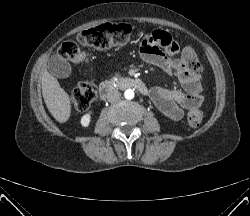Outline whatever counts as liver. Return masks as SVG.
Segmentation results:
<instances>
[{
	"instance_id": "obj_1",
	"label": "liver",
	"mask_w": 250,
	"mask_h": 216,
	"mask_svg": "<svg viewBox=\"0 0 250 216\" xmlns=\"http://www.w3.org/2000/svg\"><path fill=\"white\" fill-rule=\"evenodd\" d=\"M41 82L43 98L49 112L56 121L66 122L71 114L69 95L46 69L41 72Z\"/></svg>"
}]
</instances>
